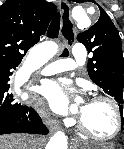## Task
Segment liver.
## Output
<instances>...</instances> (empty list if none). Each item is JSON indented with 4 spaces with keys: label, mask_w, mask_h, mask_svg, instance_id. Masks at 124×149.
I'll return each mask as SVG.
<instances>
[{
    "label": "liver",
    "mask_w": 124,
    "mask_h": 149,
    "mask_svg": "<svg viewBox=\"0 0 124 149\" xmlns=\"http://www.w3.org/2000/svg\"><path fill=\"white\" fill-rule=\"evenodd\" d=\"M30 139L38 138L21 134L0 136V149H29Z\"/></svg>",
    "instance_id": "liver-1"
}]
</instances>
